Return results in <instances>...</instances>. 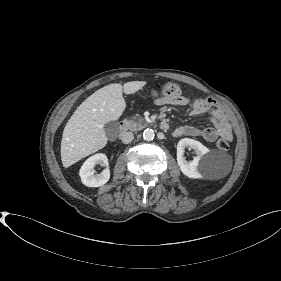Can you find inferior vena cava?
I'll return each mask as SVG.
<instances>
[{
  "label": "inferior vena cava",
  "mask_w": 281,
  "mask_h": 281,
  "mask_svg": "<svg viewBox=\"0 0 281 281\" xmlns=\"http://www.w3.org/2000/svg\"><path fill=\"white\" fill-rule=\"evenodd\" d=\"M134 135L132 132H125L121 135V140L124 144L132 142Z\"/></svg>",
  "instance_id": "1"
}]
</instances>
